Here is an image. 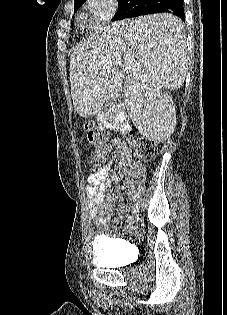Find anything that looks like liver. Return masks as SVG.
Instances as JSON below:
<instances>
[{"mask_svg":"<svg viewBox=\"0 0 227 315\" xmlns=\"http://www.w3.org/2000/svg\"><path fill=\"white\" fill-rule=\"evenodd\" d=\"M189 56L185 25L170 13L116 21L74 48L70 57L71 96L81 117L96 115L124 93L127 112L148 140L163 143L175 130L173 97ZM123 67H128L123 72ZM122 68V71H121Z\"/></svg>","mask_w":227,"mask_h":315,"instance_id":"liver-1","label":"liver"}]
</instances>
